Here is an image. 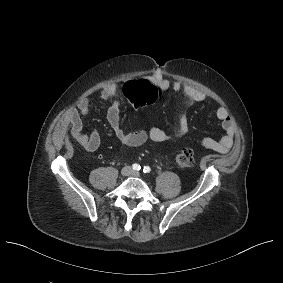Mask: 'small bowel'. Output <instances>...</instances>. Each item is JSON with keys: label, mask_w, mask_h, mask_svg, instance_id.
<instances>
[{"label": "small bowel", "mask_w": 283, "mask_h": 283, "mask_svg": "<svg viewBox=\"0 0 283 283\" xmlns=\"http://www.w3.org/2000/svg\"><path fill=\"white\" fill-rule=\"evenodd\" d=\"M146 81L157 86L161 90L172 89L174 92L183 94L187 97L190 104L202 102L205 95L191 86H183L180 81H171L162 73H152L146 77ZM117 94V85L109 84L101 90V97L104 100L113 99ZM120 106L118 99H114L111 106L107 110V121L112 128L117 139L124 145L129 147H137L143 145L147 141L162 143L169 140L181 138L188 132V122L181 119L179 128L174 134H168L160 128L154 127L149 130H139L128 132L120 123ZM89 114V101L87 97H81L78 100L77 107L68 117V121L72 127V133L76 140L84 146L87 152H94L101 143L99 133L94 130L89 135L83 132V123L81 117ZM216 117L220 120L221 126L225 134L220 139H212L205 137L201 140L202 146L220 153H226L233 145L235 136V125L229 112L224 107L216 110Z\"/></svg>", "instance_id": "1"}]
</instances>
